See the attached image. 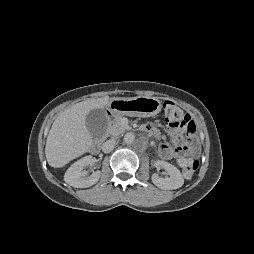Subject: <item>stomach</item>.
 <instances>
[{
  "instance_id": "0dacf381",
  "label": "stomach",
  "mask_w": 254,
  "mask_h": 254,
  "mask_svg": "<svg viewBox=\"0 0 254 254\" xmlns=\"http://www.w3.org/2000/svg\"><path fill=\"white\" fill-rule=\"evenodd\" d=\"M162 103L156 97L139 96L134 98H113L107 105L112 117L127 115L131 117H151L161 111Z\"/></svg>"
}]
</instances>
